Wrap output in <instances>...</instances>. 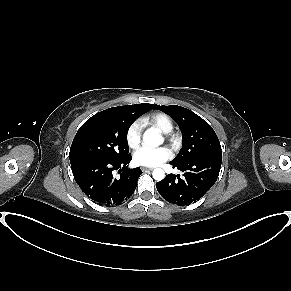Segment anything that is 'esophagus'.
<instances>
[{"label": "esophagus", "instance_id": "1", "mask_svg": "<svg viewBox=\"0 0 291 291\" xmlns=\"http://www.w3.org/2000/svg\"><path fill=\"white\" fill-rule=\"evenodd\" d=\"M141 169L143 171H152L153 170V168H151V167H142Z\"/></svg>", "mask_w": 291, "mask_h": 291}]
</instances>
